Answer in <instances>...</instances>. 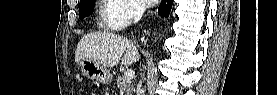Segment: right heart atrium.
<instances>
[{"label":"right heart atrium","instance_id":"obj_1","mask_svg":"<svg viewBox=\"0 0 277 95\" xmlns=\"http://www.w3.org/2000/svg\"><path fill=\"white\" fill-rule=\"evenodd\" d=\"M119 4V9L114 15V29H122L130 22L136 20L142 13V7L136 0H113Z\"/></svg>","mask_w":277,"mask_h":95}]
</instances>
